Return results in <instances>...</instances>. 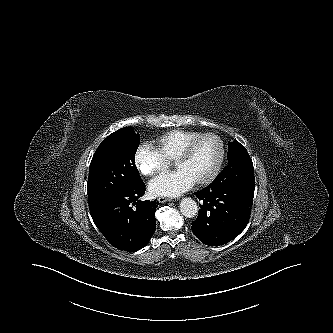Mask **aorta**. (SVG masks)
Wrapping results in <instances>:
<instances>
[{"mask_svg": "<svg viewBox=\"0 0 333 333\" xmlns=\"http://www.w3.org/2000/svg\"><path fill=\"white\" fill-rule=\"evenodd\" d=\"M179 207L182 215L187 218H193L198 213L197 203L191 198H183Z\"/></svg>", "mask_w": 333, "mask_h": 333, "instance_id": "aorta-1", "label": "aorta"}]
</instances>
